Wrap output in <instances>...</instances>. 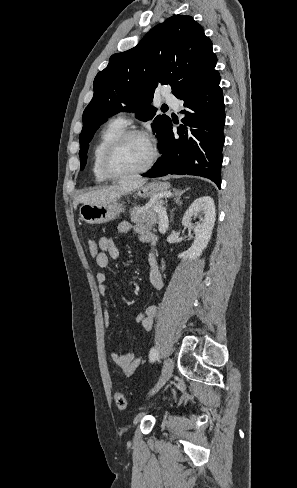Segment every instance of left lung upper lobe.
Masks as SVG:
<instances>
[{"mask_svg": "<svg viewBox=\"0 0 297 488\" xmlns=\"http://www.w3.org/2000/svg\"><path fill=\"white\" fill-rule=\"evenodd\" d=\"M212 42L191 16L174 15L151 29L140 43L110 57L108 66L95 77L94 96L83 113L80 162L84 169L88 144L96 130L118 111H136V117L153 119L159 144L171 119L156 117L150 105L155 88L170 84L179 99L204 84L216 72Z\"/></svg>", "mask_w": 297, "mask_h": 488, "instance_id": "obj_1", "label": "left lung upper lobe"}]
</instances>
